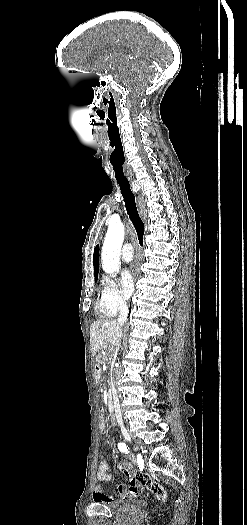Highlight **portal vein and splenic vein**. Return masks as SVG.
<instances>
[{"label":"portal vein and splenic vein","instance_id":"portal-vein-and-splenic-vein-1","mask_svg":"<svg viewBox=\"0 0 247 525\" xmlns=\"http://www.w3.org/2000/svg\"><path fill=\"white\" fill-rule=\"evenodd\" d=\"M106 368H107V365L100 364V370H106ZM104 375H107V372H104Z\"/></svg>","mask_w":247,"mask_h":525}]
</instances>
